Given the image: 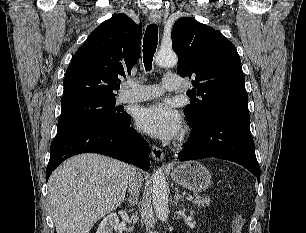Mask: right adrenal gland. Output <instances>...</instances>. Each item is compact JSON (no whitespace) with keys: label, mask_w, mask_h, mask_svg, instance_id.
Instances as JSON below:
<instances>
[{"label":"right adrenal gland","mask_w":306,"mask_h":233,"mask_svg":"<svg viewBox=\"0 0 306 233\" xmlns=\"http://www.w3.org/2000/svg\"><path fill=\"white\" fill-rule=\"evenodd\" d=\"M126 202L129 203V207H133L135 206V204L137 203V198L136 197H130L128 199L125 200Z\"/></svg>","instance_id":"right-adrenal-gland-1"}]
</instances>
